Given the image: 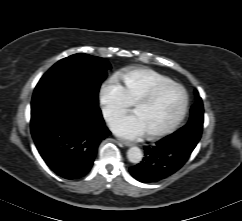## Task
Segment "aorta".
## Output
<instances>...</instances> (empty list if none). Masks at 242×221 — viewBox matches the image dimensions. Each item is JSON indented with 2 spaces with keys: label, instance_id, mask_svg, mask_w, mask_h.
Wrapping results in <instances>:
<instances>
[{
  "label": "aorta",
  "instance_id": "762f6f07",
  "mask_svg": "<svg viewBox=\"0 0 242 221\" xmlns=\"http://www.w3.org/2000/svg\"><path fill=\"white\" fill-rule=\"evenodd\" d=\"M143 157V153L140 148L134 146L128 149L127 158L131 163H140Z\"/></svg>",
  "mask_w": 242,
  "mask_h": 221
}]
</instances>
